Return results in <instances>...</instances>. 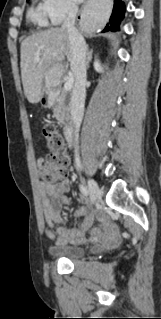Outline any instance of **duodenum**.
Segmentation results:
<instances>
[{
	"label": "duodenum",
	"mask_w": 161,
	"mask_h": 319,
	"mask_svg": "<svg viewBox=\"0 0 161 319\" xmlns=\"http://www.w3.org/2000/svg\"><path fill=\"white\" fill-rule=\"evenodd\" d=\"M64 134L65 138L68 141L69 144H73L74 142V133L72 126L70 124H65L64 126Z\"/></svg>",
	"instance_id": "410a0bca"
}]
</instances>
